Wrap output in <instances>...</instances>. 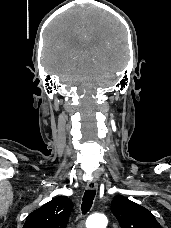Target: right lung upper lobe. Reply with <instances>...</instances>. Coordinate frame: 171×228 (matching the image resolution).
<instances>
[{
  "mask_svg": "<svg viewBox=\"0 0 171 228\" xmlns=\"http://www.w3.org/2000/svg\"><path fill=\"white\" fill-rule=\"evenodd\" d=\"M71 210L72 202L68 197H56L33 211L23 228H66Z\"/></svg>",
  "mask_w": 171,
  "mask_h": 228,
  "instance_id": "1",
  "label": "right lung upper lobe"
}]
</instances>
